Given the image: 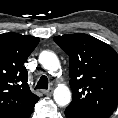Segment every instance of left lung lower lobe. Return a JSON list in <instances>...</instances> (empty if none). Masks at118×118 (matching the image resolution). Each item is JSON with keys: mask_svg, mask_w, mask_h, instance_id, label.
I'll return each instance as SVG.
<instances>
[{"mask_svg": "<svg viewBox=\"0 0 118 118\" xmlns=\"http://www.w3.org/2000/svg\"><path fill=\"white\" fill-rule=\"evenodd\" d=\"M65 115L67 118H109V116H104V115H95V114L77 112L70 108H66Z\"/></svg>", "mask_w": 118, "mask_h": 118, "instance_id": "1", "label": "left lung lower lobe"}]
</instances>
